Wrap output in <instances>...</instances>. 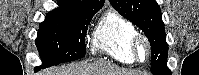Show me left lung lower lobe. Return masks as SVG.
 Masks as SVG:
<instances>
[{"label": "left lung lower lobe", "mask_w": 199, "mask_h": 75, "mask_svg": "<svg viewBox=\"0 0 199 75\" xmlns=\"http://www.w3.org/2000/svg\"><path fill=\"white\" fill-rule=\"evenodd\" d=\"M171 73H168V74H161V75H170Z\"/></svg>", "instance_id": "left-lung-lower-lobe-1"}]
</instances>
